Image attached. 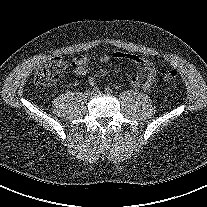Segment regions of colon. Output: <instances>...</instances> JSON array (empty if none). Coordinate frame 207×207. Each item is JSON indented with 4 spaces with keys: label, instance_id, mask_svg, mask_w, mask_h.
<instances>
[{
    "label": "colon",
    "instance_id": "obj_1",
    "mask_svg": "<svg viewBox=\"0 0 207 207\" xmlns=\"http://www.w3.org/2000/svg\"><path fill=\"white\" fill-rule=\"evenodd\" d=\"M66 62L60 57H53L47 61L39 70L36 71L34 82L37 86H50L56 82L59 75L65 70ZM177 72L175 70H163L161 79L166 84L175 81Z\"/></svg>",
    "mask_w": 207,
    "mask_h": 207
}]
</instances>
